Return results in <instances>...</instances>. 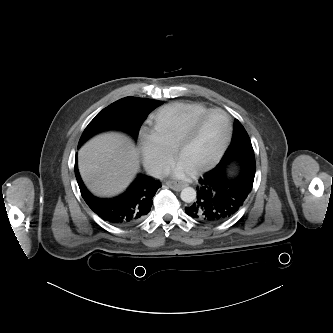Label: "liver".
<instances>
[{"label": "liver", "mask_w": 333, "mask_h": 333, "mask_svg": "<svg viewBox=\"0 0 333 333\" xmlns=\"http://www.w3.org/2000/svg\"><path fill=\"white\" fill-rule=\"evenodd\" d=\"M78 166L88 189L97 196L121 192L139 168L138 151L119 133L99 135L78 152Z\"/></svg>", "instance_id": "1"}]
</instances>
